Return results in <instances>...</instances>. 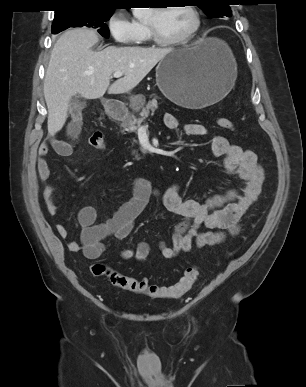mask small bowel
I'll return each mask as SVG.
<instances>
[{
	"mask_svg": "<svg viewBox=\"0 0 306 387\" xmlns=\"http://www.w3.org/2000/svg\"><path fill=\"white\" fill-rule=\"evenodd\" d=\"M164 124L170 130L179 127L177 118L170 113L164 115ZM80 131V122L75 120L67 127V139L51 137L41 143L38 149L37 171L41 180H47L50 169L46 155L51 147L60 156L73 153L72 141ZM183 131L188 136H205L207 128L199 123L184 125ZM213 156L222 158L223 167L228 175L240 180L236 188L222 194H214L203 200L184 199L177 185H171L164 191L153 188L146 179L139 178L132 184V195L115 213L99 222L98 211L91 206L79 209L77 219L82 227L80 241H70L68 249L82 252L88 259H97L105 251V242L112 239L121 241L132 233L137 217L144 210L150 198L160 197L165 208L180 216L182 220L175 226L172 244L158 242L161 255L172 259L180 253L189 252L194 245L204 247L222 242L226 233L236 234L240 229V220L248 209L256 202L261 193L264 181V170L258 162L256 154L250 149L230 143L223 136H214L210 143ZM43 197L51 214L56 212L54 204L55 188L47 185ZM205 227L207 231H200ZM62 238L68 236L67 229L59 224L56 226ZM150 245L146 241L139 242L135 247L120 251L123 260L147 261L150 257Z\"/></svg>",
	"mask_w": 306,
	"mask_h": 387,
	"instance_id": "c3829d8e",
	"label": "small bowel"
}]
</instances>
